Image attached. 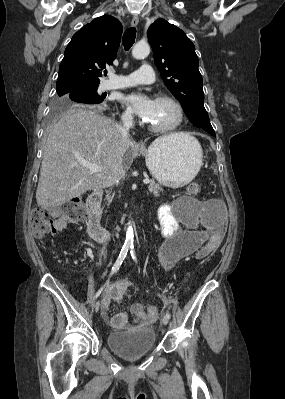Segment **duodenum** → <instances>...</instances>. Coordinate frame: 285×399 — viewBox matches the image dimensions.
Wrapping results in <instances>:
<instances>
[{
	"instance_id": "410a0bca",
	"label": "duodenum",
	"mask_w": 285,
	"mask_h": 399,
	"mask_svg": "<svg viewBox=\"0 0 285 399\" xmlns=\"http://www.w3.org/2000/svg\"><path fill=\"white\" fill-rule=\"evenodd\" d=\"M102 194L93 192L87 200L88 221L87 227L90 236L97 242L110 240L115 234L101 222L100 205Z\"/></svg>"
}]
</instances>
